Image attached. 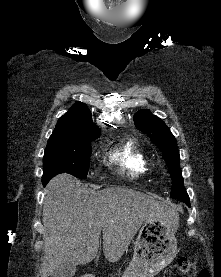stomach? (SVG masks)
<instances>
[{
	"mask_svg": "<svg viewBox=\"0 0 221 277\" xmlns=\"http://www.w3.org/2000/svg\"><path fill=\"white\" fill-rule=\"evenodd\" d=\"M178 225L177 213L145 221L135 242L133 258L123 277H155L168 266L177 254L175 233Z\"/></svg>",
	"mask_w": 221,
	"mask_h": 277,
	"instance_id": "stomach-1",
	"label": "stomach"
}]
</instances>
